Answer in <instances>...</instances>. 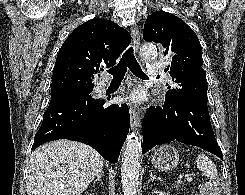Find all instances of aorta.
Segmentation results:
<instances>
[{
  "label": "aorta",
  "instance_id": "762f6f07",
  "mask_svg": "<svg viewBox=\"0 0 245 195\" xmlns=\"http://www.w3.org/2000/svg\"><path fill=\"white\" fill-rule=\"evenodd\" d=\"M140 51L146 59H152L157 54L153 44H144ZM138 133L132 132L128 136L122 156L121 182L124 195H136L137 192L141 152V138Z\"/></svg>",
  "mask_w": 245,
  "mask_h": 195
}]
</instances>
